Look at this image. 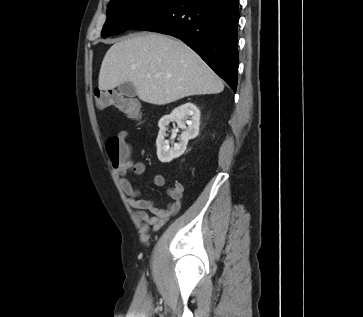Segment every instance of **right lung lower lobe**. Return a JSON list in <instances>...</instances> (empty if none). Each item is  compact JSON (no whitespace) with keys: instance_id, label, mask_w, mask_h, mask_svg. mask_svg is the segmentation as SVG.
I'll return each mask as SVG.
<instances>
[{"instance_id":"98d812e1","label":"right lung lower lobe","mask_w":363,"mask_h":317,"mask_svg":"<svg viewBox=\"0 0 363 317\" xmlns=\"http://www.w3.org/2000/svg\"><path fill=\"white\" fill-rule=\"evenodd\" d=\"M238 4L239 0H177L132 29L181 39L236 92Z\"/></svg>"}]
</instances>
